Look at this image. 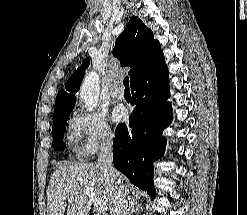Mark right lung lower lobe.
Segmentation results:
<instances>
[{
  "label": "right lung lower lobe",
  "mask_w": 247,
  "mask_h": 215,
  "mask_svg": "<svg viewBox=\"0 0 247 215\" xmlns=\"http://www.w3.org/2000/svg\"><path fill=\"white\" fill-rule=\"evenodd\" d=\"M132 105L129 128L119 124L113 143L114 166L141 190L154 199V161L165 151L163 130L172 120L166 99L169 93L168 68L162 55L132 82Z\"/></svg>",
  "instance_id": "98d812e1"
}]
</instances>
